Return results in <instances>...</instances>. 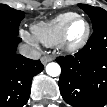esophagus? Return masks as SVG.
I'll return each instance as SVG.
<instances>
[{
    "label": "esophagus",
    "instance_id": "1",
    "mask_svg": "<svg viewBox=\"0 0 107 107\" xmlns=\"http://www.w3.org/2000/svg\"><path fill=\"white\" fill-rule=\"evenodd\" d=\"M53 60V58L52 57H50V56H43L42 58H41V62H42V64H47L48 62H50V61H52Z\"/></svg>",
    "mask_w": 107,
    "mask_h": 107
}]
</instances>
